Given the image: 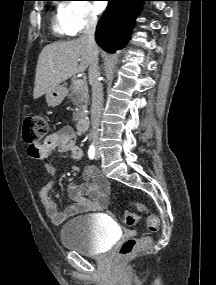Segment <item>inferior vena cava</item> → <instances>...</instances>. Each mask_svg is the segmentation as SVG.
Returning a JSON list of instances; mask_svg holds the SVG:
<instances>
[{"mask_svg":"<svg viewBox=\"0 0 216 285\" xmlns=\"http://www.w3.org/2000/svg\"><path fill=\"white\" fill-rule=\"evenodd\" d=\"M96 25L97 17L90 14L87 17L85 28L80 37L82 41L87 43L90 50L89 82L92 87L91 137L95 143H97L99 140V125L103 108V89L99 80L100 72L98 67V48L95 43Z\"/></svg>","mask_w":216,"mask_h":285,"instance_id":"1","label":"inferior vena cava"}]
</instances>
